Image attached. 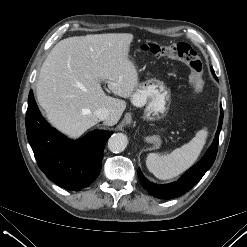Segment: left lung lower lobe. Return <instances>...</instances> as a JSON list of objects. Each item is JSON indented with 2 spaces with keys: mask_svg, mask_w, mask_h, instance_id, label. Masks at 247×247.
Wrapping results in <instances>:
<instances>
[{
  "mask_svg": "<svg viewBox=\"0 0 247 247\" xmlns=\"http://www.w3.org/2000/svg\"><path fill=\"white\" fill-rule=\"evenodd\" d=\"M214 74V73H213ZM214 77L215 74H214ZM223 122V110L221 109V115L219 119L218 130L214 141L203 158L192 168H190L178 181L157 185L152 182H149L138 169V177L142 186L149 192L150 195L157 197L159 199H172L179 197L190 190L194 185H196L203 175L210 169L212 166L218 149L219 134L221 131Z\"/></svg>",
  "mask_w": 247,
  "mask_h": 247,
  "instance_id": "left-lung-lower-lobe-1",
  "label": "left lung lower lobe"
}]
</instances>
